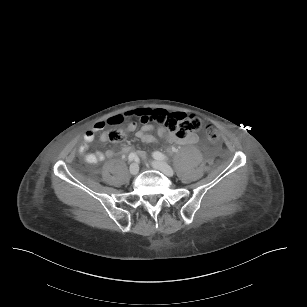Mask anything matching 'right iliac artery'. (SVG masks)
<instances>
[{"mask_svg": "<svg viewBox=\"0 0 307 307\" xmlns=\"http://www.w3.org/2000/svg\"><path fill=\"white\" fill-rule=\"evenodd\" d=\"M129 161H136L138 159L137 155L135 153H130L128 156Z\"/></svg>", "mask_w": 307, "mask_h": 307, "instance_id": "obj_1", "label": "right iliac artery"}]
</instances>
